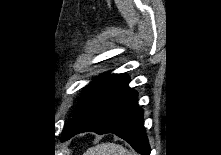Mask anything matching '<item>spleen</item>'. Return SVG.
<instances>
[{"label":"spleen","instance_id":"obj_1","mask_svg":"<svg viewBox=\"0 0 221 155\" xmlns=\"http://www.w3.org/2000/svg\"><path fill=\"white\" fill-rule=\"evenodd\" d=\"M84 155H133L126 150L122 145L107 142L99 144L95 147L89 148Z\"/></svg>","mask_w":221,"mask_h":155}]
</instances>
